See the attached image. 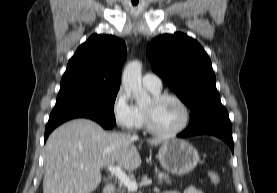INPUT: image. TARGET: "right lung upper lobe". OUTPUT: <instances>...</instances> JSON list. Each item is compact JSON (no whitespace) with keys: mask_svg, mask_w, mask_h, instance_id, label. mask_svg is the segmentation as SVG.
<instances>
[{"mask_svg":"<svg viewBox=\"0 0 277 193\" xmlns=\"http://www.w3.org/2000/svg\"><path fill=\"white\" fill-rule=\"evenodd\" d=\"M125 43L112 35H92L69 60L60 90L81 86L119 89Z\"/></svg>","mask_w":277,"mask_h":193,"instance_id":"1","label":"right lung upper lobe"}]
</instances>
